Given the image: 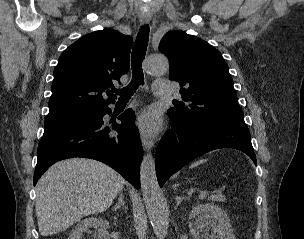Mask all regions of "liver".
<instances>
[{
    "label": "liver",
    "instance_id": "1",
    "mask_svg": "<svg viewBox=\"0 0 304 239\" xmlns=\"http://www.w3.org/2000/svg\"><path fill=\"white\" fill-rule=\"evenodd\" d=\"M126 181L96 160L71 158L52 165L36 185L39 232L65 231L84 216L105 211Z\"/></svg>",
    "mask_w": 304,
    "mask_h": 239
}]
</instances>
